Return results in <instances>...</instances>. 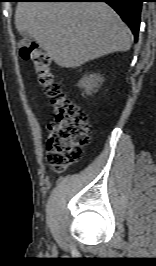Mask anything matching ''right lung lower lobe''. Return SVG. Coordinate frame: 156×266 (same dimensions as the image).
<instances>
[{
  "label": "right lung lower lobe",
  "instance_id": "right-lung-lower-lobe-1",
  "mask_svg": "<svg viewBox=\"0 0 156 266\" xmlns=\"http://www.w3.org/2000/svg\"><path fill=\"white\" fill-rule=\"evenodd\" d=\"M42 2H106L129 26L137 40L140 24L142 0H29Z\"/></svg>",
  "mask_w": 156,
  "mask_h": 266
}]
</instances>
